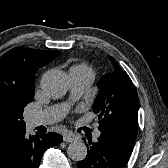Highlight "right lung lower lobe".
Returning <instances> with one entry per match:
<instances>
[{
	"instance_id": "obj_1",
	"label": "right lung lower lobe",
	"mask_w": 168,
	"mask_h": 168,
	"mask_svg": "<svg viewBox=\"0 0 168 168\" xmlns=\"http://www.w3.org/2000/svg\"><path fill=\"white\" fill-rule=\"evenodd\" d=\"M62 141L60 134H26V128L13 135L0 148V168H39L43 152Z\"/></svg>"
}]
</instances>
